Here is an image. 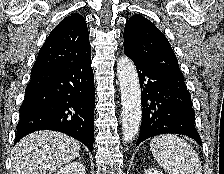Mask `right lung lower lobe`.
Returning <instances> with one entry per match:
<instances>
[{
  "label": "right lung lower lobe",
  "instance_id": "obj_1",
  "mask_svg": "<svg viewBox=\"0 0 224 174\" xmlns=\"http://www.w3.org/2000/svg\"><path fill=\"white\" fill-rule=\"evenodd\" d=\"M94 102L91 57L32 73L14 144L31 132L54 130L79 140L92 152Z\"/></svg>",
  "mask_w": 224,
  "mask_h": 174
}]
</instances>
